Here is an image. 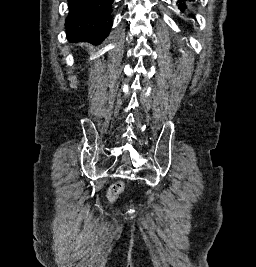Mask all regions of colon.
Masks as SVG:
<instances>
[{
	"label": "colon",
	"instance_id": "colon-1",
	"mask_svg": "<svg viewBox=\"0 0 256 267\" xmlns=\"http://www.w3.org/2000/svg\"><path fill=\"white\" fill-rule=\"evenodd\" d=\"M124 190V184L121 181L114 182L108 189L106 196L108 200L113 201L117 199Z\"/></svg>",
	"mask_w": 256,
	"mask_h": 267
}]
</instances>
